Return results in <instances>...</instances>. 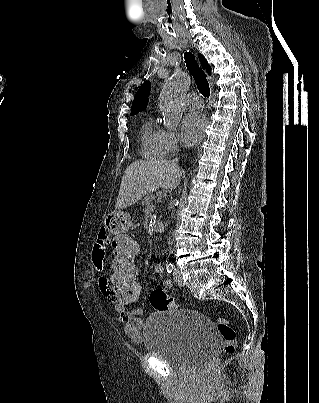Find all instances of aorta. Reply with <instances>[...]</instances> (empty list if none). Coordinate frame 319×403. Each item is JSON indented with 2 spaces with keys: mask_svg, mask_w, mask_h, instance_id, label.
<instances>
[{
  "mask_svg": "<svg viewBox=\"0 0 319 403\" xmlns=\"http://www.w3.org/2000/svg\"><path fill=\"white\" fill-rule=\"evenodd\" d=\"M189 85L188 77L176 71L163 85L159 106L167 127H176L182 119V96Z\"/></svg>",
  "mask_w": 319,
  "mask_h": 403,
  "instance_id": "aorta-1",
  "label": "aorta"
}]
</instances>
